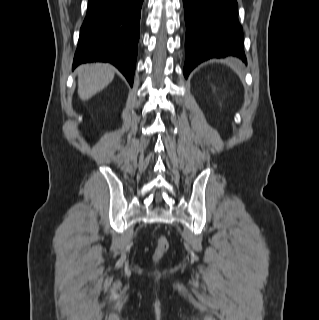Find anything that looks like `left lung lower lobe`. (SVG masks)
<instances>
[{
    "label": "left lung lower lobe",
    "instance_id": "left-lung-lower-lobe-1",
    "mask_svg": "<svg viewBox=\"0 0 319 320\" xmlns=\"http://www.w3.org/2000/svg\"><path fill=\"white\" fill-rule=\"evenodd\" d=\"M186 23L184 76L210 58L246 62L236 0H183Z\"/></svg>",
    "mask_w": 319,
    "mask_h": 320
}]
</instances>
